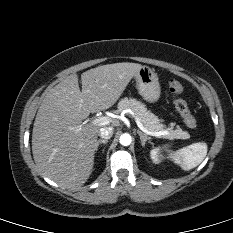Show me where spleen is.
<instances>
[{
    "instance_id": "1",
    "label": "spleen",
    "mask_w": 233,
    "mask_h": 233,
    "mask_svg": "<svg viewBox=\"0 0 233 233\" xmlns=\"http://www.w3.org/2000/svg\"><path fill=\"white\" fill-rule=\"evenodd\" d=\"M207 155V144L203 142L193 143L184 147L173 154L174 162L181 166L185 171H189L198 166Z\"/></svg>"
}]
</instances>
